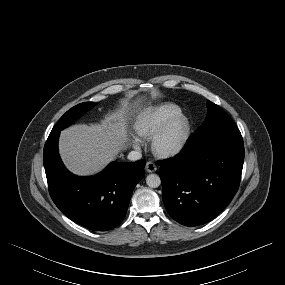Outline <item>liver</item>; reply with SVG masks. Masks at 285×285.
Segmentation results:
<instances>
[{
	"instance_id": "6515ba94",
	"label": "liver",
	"mask_w": 285,
	"mask_h": 285,
	"mask_svg": "<svg viewBox=\"0 0 285 285\" xmlns=\"http://www.w3.org/2000/svg\"><path fill=\"white\" fill-rule=\"evenodd\" d=\"M144 98H139L134 105ZM131 106L123 101L119 109L100 123L72 125L63 130L59 151L65 166L74 174L88 176L104 169L126 148L127 121Z\"/></svg>"
}]
</instances>
